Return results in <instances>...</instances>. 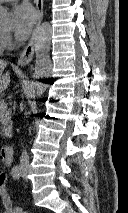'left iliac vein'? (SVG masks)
Returning <instances> with one entry per match:
<instances>
[{
    "label": "left iliac vein",
    "mask_w": 128,
    "mask_h": 213,
    "mask_svg": "<svg viewBox=\"0 0 128 213\" xmlns=\"http://www.w3.org/2000/svg\"><path fill=\"white\" fill-rule=\"evenodd\" d=\"M21 174H22V178L24 180H27V169L26 168L21 170Z\"/></svg>",
    "instance_id": "left-iliac-vein-1"
}]
</instances>
